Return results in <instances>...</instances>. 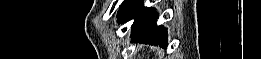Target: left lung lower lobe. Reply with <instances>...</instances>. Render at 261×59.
<instances>
[{
    "mask_svg": "<svg viewBox=\"0 0 261 59\" xmlns=\"http://www.w3.org/2000/svg\"><path fill=\"white\" fill-rule=\"evenodd\" d=\"M117 18L121 23L135 19L132 27V41L166 48V29L156 26L158 14L152 8H144L142 0H126L118 12Z\"/></svg>",
    "mask_w": 261,
    "mask_h": 59,
    "instance_id": "0a47b994",
    "label": "left lung lower lobe"
}]
</instances>
